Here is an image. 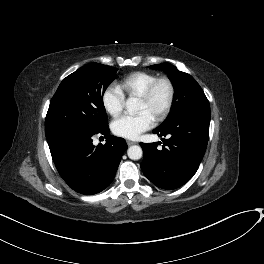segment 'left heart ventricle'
<instances>
[{
	"label": "left heart ventricle",
	"mask_w": 264,
	"mask_h": 264,
	"mask_svg": "<svg viewBox=\"0 0 264 264\" xmlns=\"http://www.w3.org/2000/svg\"><path fill=\"white\" fill-rule=\"evenodd\" d=\"M168 97V87L161 83L149 102L139 100L138 112H148L153 118L163 109Z\"/></svg>",
	"instance_id": "left-heart-ventricle-1"
}]
</instances>
